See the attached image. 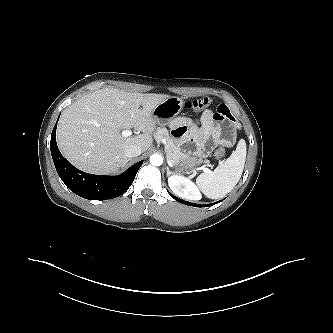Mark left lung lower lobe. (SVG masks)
<instances>
[{
  "instance_id": "1",
  "label": "left lung lower lobe",
  "mask_w": 333,
  "mask_h": 333,
  "mask_svg": "<svg viewBox=\"0 0 333 333\" xmlns=\"http://www.w3.org/2000/svg\"><path fill=\"white\" fill-rule=\"evenodd\" d=\"M169 194H170V196L173 197L175 200H177V201H179V202H181V203H183V204L190 205V206H194V207H208V206L215 205V204H217V203H219V202L222 201V200H220V201L215 202V203H213V204L198 205V204H194V203H191V202H187V201L181 200V199L175 197L174 195H172L171 193H169Z\"/></svg>"
}]
</instances>
